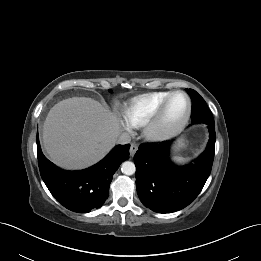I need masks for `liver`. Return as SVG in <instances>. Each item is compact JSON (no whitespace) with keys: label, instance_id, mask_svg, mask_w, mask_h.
<instances>
[{"label":"liver","instance_id":"1","mask_svg":"<svg viewBox=\"0 0 261 261\" xmlns=\"http://www.w3.org/2000/svg\"><path fill=\"white\" fill-rule=\"evenodd\" d=\"M120 131L117 117L98 101L72 97L50 109L43 125V145L58 166L83 169L115 146Z\"/></svg>","mask_w":261,"mask_h":261}]
</instances>
